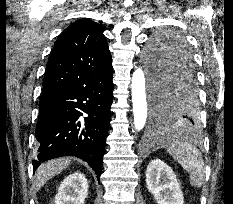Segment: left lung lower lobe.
<instances>
[{"instance_id": "obj_1", "label": "left lung lower lobe", "mask_w": 233, "mask_h": 204, "mask_svg": "<svg viewBox=\"0 0 233 204\" xmlns=\"http://www.w3.org/2000/svg\"><path fill=\"white\" fill-rule=\"evenodd\" d=\"M167 71L158 81L152 82L153 91V118L149 140H154L158 135L172 131L198 132L182 128L178 121L171 120V111L181 98H190L199 106L198 87L193 67V60L185 53L170 55ZM161 105L168 108L162 112Z\"/></svg>"}]
</instances>
